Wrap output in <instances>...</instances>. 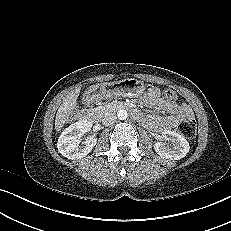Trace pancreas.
I'll list each match as a JSON object with an SVG mask.
<instances>
[{"instance_id": "pancreas-1", "label": "pancreas", "mask_w": 231, "mask_h": 231, "mask_svg": "<svg viewBox=\"0 0 231 231\" xmlns=\"http://www.w3.org/2000/svg\"><path fill=\"white\" fill-rule=\"evenodd\" d=\"M113 107H114L113 104H104V105L100 106V110L102 112H104V111L112 109Z\"/></svg>"}]
</instances>
